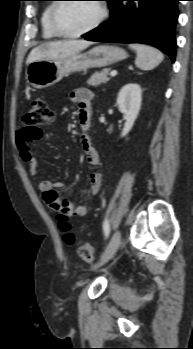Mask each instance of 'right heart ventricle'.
<instances>
[{"mask_svg":"<svg viewBox=\"0 0 193 349\" xmlns=\"http://www.w3.org/2000/svg\"><path fill=\"white\" fill-rule=\"evenodd\" d=\"M52 6H53V3L47 4L45 6V8L43 9V11L41 13V17H40L42 36L45 39H53V38L57 37L52 32V30L50 29V26H49V13H50Z\"/></svg>","mask_w":193,"mask_h":349,"instance_id":"1","label":"right heart ventricle"}]
</instances>
